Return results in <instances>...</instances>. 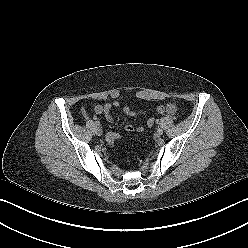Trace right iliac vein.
<instances>
[{
	"label": "right iliac vein",
	"instance_id": "63e3f726",
	"mask_svg": "<svg viewBox=\"0 0 248 248\" xmlns=\"http://www.w3.org/2000/svg\"><path fill=\"white\" fill-rule=\"evenodd\" d=\"M96 134H97L98 136H101V135H102V129H101V128H97V129H96Z\"/></svg>",
	"mask_w": 248,
	"mask_h": 248
}]
</instances>
